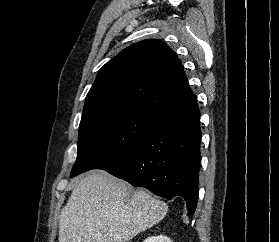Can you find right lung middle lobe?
I'll use <instances>...</instances> for the list:
<instances>
[{
    "instance_id": "dd1d6c3e",
    "label": "right lung middle lobe",
    "mask_w": 279,
    "mask_h": 242,
    "mask_svg": "<svg viewBox=\"0 0 279 242\" xmlns=\"http://www.w3.org/2000/svg\"><path fill=\"white\" fill-rule=\"evenodd\" d=\"M159 114L143 110H115L82 117L77 159L70 177L100 169L146 138L156 127Z\"/></svg>"
}]
</instances>
